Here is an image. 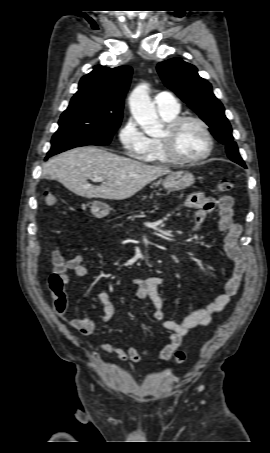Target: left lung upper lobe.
Instances as JSON below:
<instances>
[{"label":"left lung upper lobe","instance_id":"1","mask_svg":"<svg viewBox=\"0 0 270 453\" xmlns=\"http://www.w3.org/2000/svg\"><path fill=\"white\" fill-rule=\"evenodd\" d=\"M157 71L165 85L209 125L212 135L226 146L228 157L246 168L237 144L233 141L224 107L213 94L211 84L199 76L197 68L179 58H173L159 63Z\"/></svg>","mask_w":270,"mask_h":453}]
</instances>
